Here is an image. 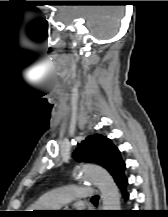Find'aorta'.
<instances>
[{
  "label": "aorta",
  "instance_id": "obj_1",
  "mask_svg": "<svg viewBox=\"0 0 168 217\" xmlns=\"http://www.w3.org/2000/svg\"><path fill=\"white\" fill-rule=\"evenodd\" d=\"M80 178L95 185L101 192L103 210H120V193L110 174L96 165H82Z\"/></svg>",
  "mask_w": 168,
  "mask_h": 217
}]
</instances>
